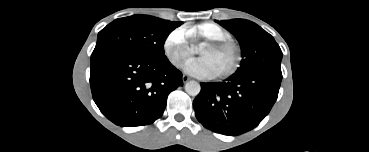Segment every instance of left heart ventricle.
<instances>
[{
    "label": "left heart ventricle",
    "mask_w": 369,
    "mask_h": 152,
    "mask_svg": "<svg viewBox=\"0 0 369 152\" xmlns=\"http://www.w3.org/2000/svg\"><path fill=\"white\" fill-rule=\"evenodd\" d=\"M200 59L206 60L214 75L228 70L234 63L235 51L231 47L216 50L203 48L199 51Z\"/></svg>",
    "instance_id": "obj_1"
}]
</instances>
